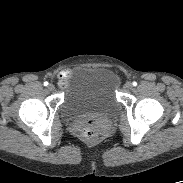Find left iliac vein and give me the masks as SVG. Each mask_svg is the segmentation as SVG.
<instances>
[{"label":"left iliac vein","instance_id":"4c4485c4","mask_svg":"<svg viewBox=\"0 0 183 183\" xmlns=\"http://www.w3.org/2000/svg\"><path fill=\"white\" fill-rule=\"evenodd\" d=\"M124 87H125V89H127V90H131L132 87H133V85H132L131 82H126Z\"/></svg>","mask_w":183,"mask_h":183}]
</instances>
